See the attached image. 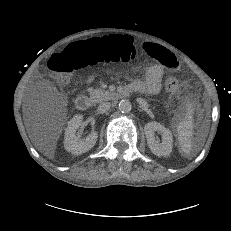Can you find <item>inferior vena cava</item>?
<instances>
[{"mask_svg": "<svg viewBox=\"0 0 231 231\" xmlns=\"http://www.w3.org/2000/svg\"><path fill=\"white\" fill-rule=\"evenodd\" d=\"M111 104L109 102H102L98 106V113L103 114L109 111Z\"/></svg>", "mask_w": 231, "mask_h": 231, "instance_id": "602c4592", "label": "inferior vena cava"}]
</instances>
